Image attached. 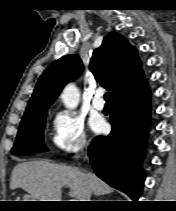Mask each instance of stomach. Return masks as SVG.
<instances>
[{
    "mask_svg": "<svg viewBox=\"0 0 176 211\" xmlns=\"http://www.w3.org/2000/svg\"><path fill=\"white\" fill-rule=\"evenodd\" d=\"M24 198L27 199L26 201H36V200H33L31 195H25Z\"/></svg>",
    "mask_w": 176,
    "mask_h": 211,
    "instance_id": "0dacf381",
    "label": "stomach"
}]
</instances>
